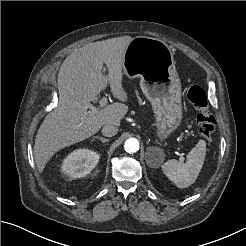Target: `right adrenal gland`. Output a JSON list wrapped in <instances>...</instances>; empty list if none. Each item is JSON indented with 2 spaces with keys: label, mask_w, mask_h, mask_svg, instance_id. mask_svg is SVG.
Instances as JSON below:
<instances>
[{
  "label": "right adrenal gland",
  "mask_w": 246,
  "mask_h": 246,
  "mask_svg": "<svg viewBox=\"0 0 246 246\" xmlns=\"http://www.w3.org/2000/svg\"><path fill=\"white\" fill-rule=\"evenodd\" d=\"M93 138H95V139H99L101 142H103V143H106V142H108L109 141V139H107V138H103V137H100V136H94Z\"/></svg>",
  "instance_id": "2a0ac1e0"
}]
</instances>
